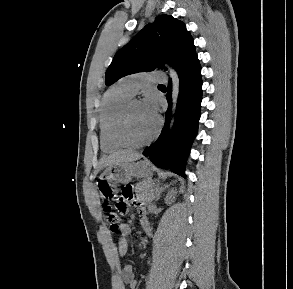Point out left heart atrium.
Wrapping results in <instances>:
<instances>
[{
  "label": "left heart atrium",
  "instance_id": "left-heart-atrium-1",
  "mask_svg": "<svg viewBox=\"0 0 293 289\" xmlns=\"http://www.w3.org/2000/svg\"><path fill=\"white\" fill-rule=\"evenodd\" d=\"M143 106L146 110V112L152 117L157 119L158 117V103L156 99L152 96H148L144 103Z\"/></svg>",
  "mask_w": 293,
  "mask_h": 289
}]
</instances>
